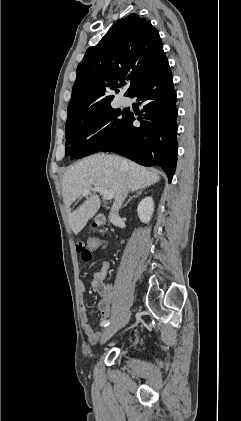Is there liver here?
<instances>
[{
	"label": "liver",
	"instance_id": "6515ba94",
	"mask_svg": "<svg viewBox=\"0 0 241 421\" xmlns=\"http://www.w3.org/2000/svg\"><path fill=\"white\" fill-rule=\"evenodd\" d=\"M160 172L148 170L130 160L110 154L97 153L70 166L62 178V195L69 225L78 234L98 212L101 200L89 192L79 207L72 211L71 205L82 195L83 190L100 186L114 193L117 199L126 186L128 192L146 188L160 180Z\"/></svg>",
	"mask_w": 241,
	"mask_h": 421
}]
</instances>
